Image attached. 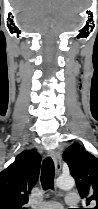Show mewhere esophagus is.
<instances>
[{
  "instance_id": "1",
  "label": "esophagus",
  "mask_w": 98,
  "mask_h": 209,
  "mask_svg": "<svg viewBox=\"0 0 98 209\" xmlns=\"http://www.w3.org/2000/svg\"><path fill=\"white\" fill-rule=\"evenodd\" d=\"M50 154L54 161L56 172L59 174L61 172V155L57 150H52Z\"/></svg>"
}]
</instances>
